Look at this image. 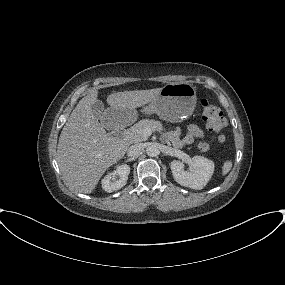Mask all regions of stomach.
Segmentation results:
<instances>
[{
	"label": "stomach",
	"mask_w": 285,
	"mask_h": 285,
	"mask_svg": "<svg viewBox=\"0 0 285 285\" xmlns=\"http://www.w3.org/2000/svg\"><path fill=\"white\" fill-rule=\"evenodd\" d=\"M196 101V88L191 83H169L161 88L154 100L143 107L142 112L146 115L157 114L159 118L168 122H180L193 113ZM111 110L118 119L125 115H136L135 110Z\"/></svg>",
	"instance_id": "0dacf381"
}]
</instances>
